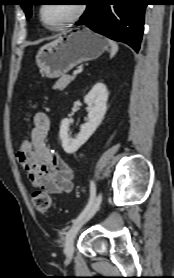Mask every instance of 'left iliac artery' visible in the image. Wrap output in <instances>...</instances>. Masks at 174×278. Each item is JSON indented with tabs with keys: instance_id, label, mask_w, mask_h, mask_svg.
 <instances>
[{
	"instance_id": "1",
	"label": "left iliac artery",
	"mask_w": 174,
	"mask_h": 278,
	"mask_svg": "<svg viewBox=\"0 0 174 278\" xmlns=\"http://www.w3.org/2000/svg\"><path fill=\"white\" fill-rule=\"evenodd\" d=\"M95 196H96V184L92 180L90 182V198H89V201H88L86 207L84 208V210L80 213V215L75 220H73V224H76L77 222H79L87 214V212L90 210L91 206L93 205V202L95 200Z\"/></svg>"
}]
</instances>
